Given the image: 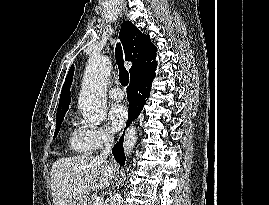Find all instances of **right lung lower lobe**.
<instances>
[{
  "mask_svg": "<svg viewBox=\"0 0 269 205\" xmlns=\"http://www.w3.org/2000/svg\"><path fill=\"white\" fill-rule=\"evenodd\" d=\"M155 76V72H151L140 76L136 79L130 81V85L127 91V97L129 101V116L127 121V126L139 116L146 103L151 90V83ZM124 134L119 139V142L114 146L112 153L115 160L123 166L125 164V155L123 148Z\"/></svg>",
  "mask_w": 269,
  "mask_h": 205,
  "instance_id": "obj_1",
  "label": "right lung lower lobe"
}]
</instances>
